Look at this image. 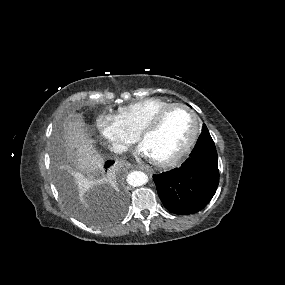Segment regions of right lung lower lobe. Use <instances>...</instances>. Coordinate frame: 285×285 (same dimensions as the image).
I'll list each match as a JSON object with an SVG mask.
<instances>
[{
	"instance_id": "right-lung-lower-lobe-1",
	"label": "right lung lower lobe",
	"mask_w": 285,
	"mask_h": 285,
	"mask_svg": "<svg viewBox=\"0 0 285 285\" xmlns=\"http://www.w3.org/2000/svg\"><path fill=\"white\" fill-rule=\"evenodd\" d=\"M113 163H114V161H108V162L106 163L105 168H106V169L109 168ZM122 202L125 203V198H124V197L122 198Z\"/></svg>"
}]
</instances>
